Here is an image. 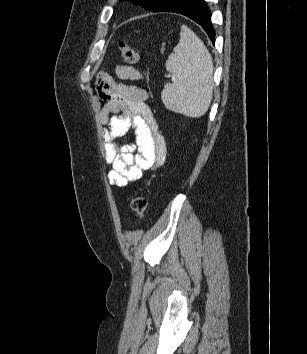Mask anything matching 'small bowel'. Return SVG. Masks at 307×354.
Returning a JSON list of instances; mask_svg holds the SVG:
<instances>
[{"instance_id": "obj_1", "label": "small bowel", "mask_w": 307, "mask_h": 354, "mask_svg": "<svg viewBox=\"0 0 307 354\" xmlns=\"http://www.w3.org/2000/svg\"><path fill=\"white\" fill-rule=\"evenodd\" d=\"M116 76L123 81L142 78L138 70L124 65L116 67ZM98 89L102 99H109L98 114L101 124L106 127L103 132L104 156L111 166L108 179L112 185L125 187L141 178L144 171L164 163L166 144L146 104V89L106 77L98 80ZM130 130L134 131V142L119 144L118 139Z\"/></svg>"}]
</instances>
